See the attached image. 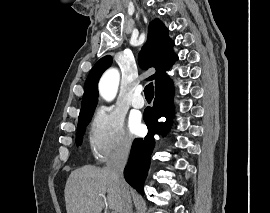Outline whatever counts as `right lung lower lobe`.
<instances>
[{
    "mask_svg": "<svg viewBox=\"0 0 270 213\" xmlns=\"http://www.w3.org/2000/svg\"><path fill=\"white\" fill-rule=\"evenodd\" d=\"M173 87L170 79L155 88V100L152 108L144 111V120L148 127V134L144 139H135L124 175L126 181L139 193L144 195L143 184L148 173L150 157L154 148V134H165L170 126L173 115ZM161 116L167 118L164 124L157 119Z\"/></svg>",
    "mask_w": 270,
    "mask_h": 213,
    "instance_id": "obj_1",
    "label": "right lung lower lobe"
}]
</instances>
